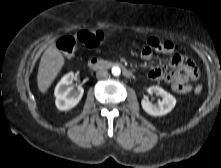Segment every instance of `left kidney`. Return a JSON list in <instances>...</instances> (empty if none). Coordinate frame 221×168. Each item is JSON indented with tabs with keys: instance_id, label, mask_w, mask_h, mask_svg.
I'll use <instances>...</instances> for the list:
<instances>
[{
	"instance_id": "obj_1",
	"label": "left kidney",
	"mask_w": 221,
	"mask_h": 168,
	"mask_svg": "<svg viewBox=\"0 0 221 168\" xmlns=\"http://www.w3.org/2000/svg\"><path fill=\"white\" fill-rule=\"evenodd\" d=\"M149 94H156L162 98L157 104L144 98L141 101L143 110L151 116H163L169 113L176 105V99L159 86H151L148 88Z\"/></svg>"
}]
</instances>
